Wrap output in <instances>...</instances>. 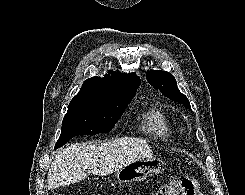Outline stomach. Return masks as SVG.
Listing matches in <instances>:
<instances>
[{"mask_svg": "<svg viewBox=\"0 0 245 195\" xmlns=\"http://www.w3.org/2000/svg\"><path fill=\"white\" fill-rule=\"evenodd\" d=\"M163 167L155 158H143L131 162L118 170L115 179L120 184L145 180L153 174L162 172Z\"/></svg>", "mask_w": 245, "mask_h": 195, "instance_id": "0dacf381", "label": "stomach"}]
</instances>
